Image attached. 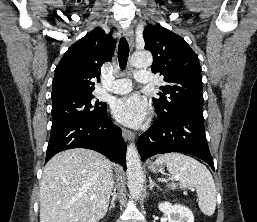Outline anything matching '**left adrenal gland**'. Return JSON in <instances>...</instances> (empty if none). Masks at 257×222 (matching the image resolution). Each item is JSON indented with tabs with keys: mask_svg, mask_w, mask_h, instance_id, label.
<instances>
[{
	"mask_svg": "<svg viewBox=\"0 0 257 222\" xmlns=\"http://www.w3.org/2000/svg\"><path fill=\"white\" fill-rule=\"evenodd\" d=\"M153 187L160 189L159 186L156 185V183L151 179V177H149V189L152 190Z\"/></svg>",
	"mask_w": 257,
	"mask_h": 222,
	"instance_id": "1",
	"label": "left adrenal gland"
}]
</instances>
